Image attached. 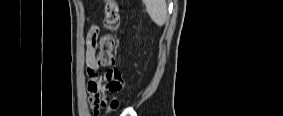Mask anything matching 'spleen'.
I'll list each match as a JSON object with an SVG mask.
<instances>
[{
    "mask_svg": "<svg viewBox=\"0 0 283 116\" xmlns=\"http://www.w3.org/2000/svg\"><path fill=\"white\" fill-rule=\"evenodd\" d=\"M144 4L151 20L158 26L164 25L167 19L165 0H146Z\"/></svg>",
    "mask_w": 283,
    "mask_h": 116,
    "instance_id": "3e777b00",
    "label": "spleen"
}]
</instances>
